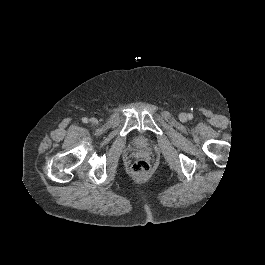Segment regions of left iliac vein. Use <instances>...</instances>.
I'll list each match as a JSON object with an SVG mask.
<instances>
[{
    "mask_svg": "<svg viewBox=\"0 0 265 265\" xmlns=\"http://www.w3.org/2000/svg\"><path fill=\"white\" fill-rule=\"evenodd\" d=\"M179 118H180V120H186L187 116H186V114L182 113V114H180Z\"/></svg>",
    "mask_w": 265,
    "mask_h": 265,
    "instance_id": "obj_1",
    "label": "left iliac vein"
}]
</instances>
